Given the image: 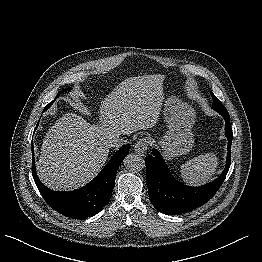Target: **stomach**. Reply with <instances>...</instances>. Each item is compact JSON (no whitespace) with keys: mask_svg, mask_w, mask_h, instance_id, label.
I'll list each match as a JSON object with an SVG mask.
<instances>
[{"mask_svg":"<svg viewBox=\"0 0 262 262\" xmlns=\"http://www.w3.org/2000/svg\"><path fill=\"white\" fill-rule=\"evenodd\" d=\"M163 115L168 126L160 142L163 155L172 159L187 154L194 144L195 110L178 97L170 96L164 101Z\"/></svg>","mask_w":262,"mask_h":262,"instance_id":"0dacf381","label":"stomach"}]
</instances>
